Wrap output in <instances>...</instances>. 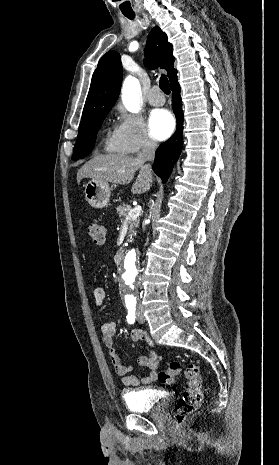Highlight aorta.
<instances>
[{
	"instance_id": "aorta-1",
	"label": "aorta",
	"mask_w": 279,
	"mask_h": 465,
	"mask_svg": "<svg viewBox=\"0 0 279 465\" xmlns=\"http://www.w3.org/2000/svg\"><path fill=\"white\" fill-rule=\"evenodd\" d=\"M141 87L137 78L128 76L122 87V101L130 112L136 113L140 110ZM138 282L137 254L134 250L129 251L124 259L121 271V287L125 301L133 298L132 292Z\"/></svg>"
}]
</instances>
